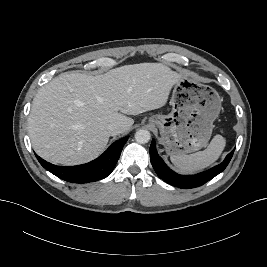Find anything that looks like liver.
<instances>
[{"label":"liver","instance_id":"6515ba94","mask_svg":"<svg viewBox=\"0 0 267 267\" xmlns=\"http://www.w3.org/2000/svg\"><path fill=\"white\" fill-rule=\"evenodd\" d=\"M178 79L161 63L125 65L98 76L61 74L33 99L28 118L33 149L53 164L88 162L106 147L108 124L127 131L134 120L126 115L164 106Z\"/></svg>","mask_w":267,"mask_h":267}]
</instances>
